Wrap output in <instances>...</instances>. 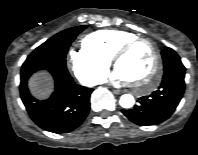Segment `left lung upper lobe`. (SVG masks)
<instances>
[{
  "mask_svg": "<svg viewBox=\"0 0 198 155\" xmlns=\"http://www.w3.org/2000/svg\"><path fill=\"white\" fill-rule=\"evenodd\" d=\"M164 72H167L175 67H184L180 57L171 48H165L162 52Z\"/></svg>",
  "mask_w": 198,
  "mask_h": 155,
  "instance_id": "1",
  "label": "left lung upper lobe"
}]
</instances>
